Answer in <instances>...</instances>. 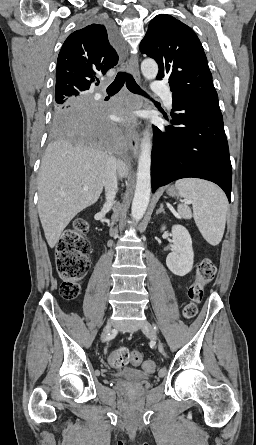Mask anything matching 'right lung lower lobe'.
<instances>
[{"mask_svg": "<svg viewBox=\"0 0 256 445\" xmlns=\"http://www.w3.org/2000/svg\"><path fill=\"white\" fill-rule=\"evenodd\" d=\"M111 38L114 32L107 25ZM115 41V40H114ZM112 104L86 99L63 115L59 123L69 131V138L84 141L98 149L118 156L125 155L127 147L117 126L111 121Z\"/></svg>", "mask_w": 256, "mask_h": 445, "instance_id": "obj_1", "label": "right lung lower lobe"}]
</instances>
